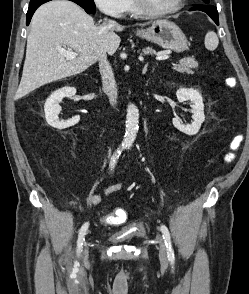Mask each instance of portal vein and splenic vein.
I'll return each mask as SVG.
<instances>
[{"label":"portal vein and splenic vein","instance_id":"18ae733b","mask_svg":"<svg viewBox=\"0 0 249 294\" xmlns=\"http://www.w3.org/2000/svg\"><path fill=\"white\" fill-rule=\"evenodd\" d=\"M59 51L67 60L75 59L78 56V54L71 51V49L61 48ZM156 59L157 60H166V59H169V55H166V54L158 55L156 57Z\"/></svg>","mask_w":249,"mask_h":294}]
</instances>
